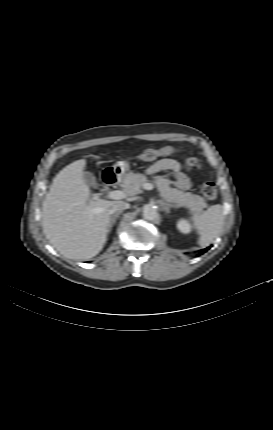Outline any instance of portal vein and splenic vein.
I'll list each match as a JSON object with an SVG mask.
<instances>
[{"instance_id": "portal-vein-and-splenic-vein-1", "label": "portal vein and splenic vein", "mask_w": 273, "mask_h": 430, "mask_svg": "<svg viewBox=\"0 0 273 430\" xmlns=\"http://www.w3.org/2000/svg\"><path fill=\"white\" fill-rule=\"evenodd\" d=\"M142 188L146 189V190H152L153 185L151 183H144L142 185ZM125 196H126V193L124 191H120V190L110 191L107 194V197L110 199H123V198H125ZM98 198H99V196L94 197V199H98Z\"/></svg>"}]
</instances>
